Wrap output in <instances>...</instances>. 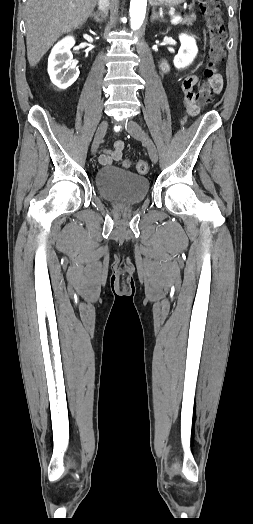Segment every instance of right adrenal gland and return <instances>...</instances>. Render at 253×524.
Instances as JSON below:
<instances>
[{
    "label": "right adrenal gland",
    "instance_id": "1",
    "mask_svg": "<svg viewBox=\"0 0 253 524\" xmlns=\"http://www.w3.org/2000/svg\"><path fill=\"white\" fill-rule=\"evenodd\" d=\"M90 16L93 17L96 22L100 23L106 18L107 13L104 16H100L98 13H91Z\"/></svg>",
    "mask_w": 253,
    "mask_h": 524
}]
</instances>
